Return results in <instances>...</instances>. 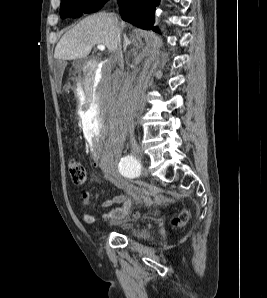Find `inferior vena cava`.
I'll use <instances>...</instances> for the list:
<instances>
[{"instance_id":"obj_1","label":"inferior vena cava","mask_w":267,"mask_h":298,"mask_svg":"<svg viewBox=\"0 0 267 298\" xmlns=\"http://www.w3.org/2000/svg\"><path fill=\"white\" fill-rule=\"evenodd\" d=\"M117 37H118L119 45L117 49L113 52L112 62H118L120 68L123 70L122 50L120 46V32L118 29H117ZM119 74H121L120 71H119ZM117 105L119 107L121 114L124 116V118L127 119L128 121H131L130 96H129L128 86L124 82H121L120 84Z\"/></svg>"}]
</instances>
